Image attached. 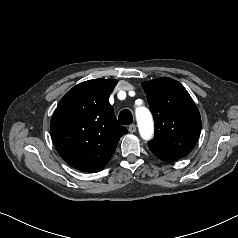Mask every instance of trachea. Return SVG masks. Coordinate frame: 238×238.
I'll list each match as a JSON object with an SVG mask.
<instances>
[{"label":"trachea","mask_w":238,"mask_h":238,"mask_svg":"<svg viewBox=\"0 0 238 238\" xmlns=\"http://www.w3.org/2000/svg\"><path fill=\"white\" fill-rule=\"evenodd\" d=\"M118 120L123 125H129L133 122V116L130 110H122L119 114Z\"/></svg>","instance_id":"trachea-1"}]
</instances>
